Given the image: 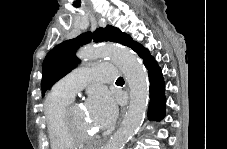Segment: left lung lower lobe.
<instances>
[{
	"mask_svg": "<svg viewBox=\"0 0 227 149\" xmlns=\"http://www.w3.org/2000/svg\"><path fill=\"white\" fill-rule=\"evenodd\" d=\"M128 47L132 48L143 59V63L148 69L150 80V103L148 108L149 120L159 121L165 116L166 98L164 94L165 84L162 77L161 69L157 62L150 55L148 49L144 48L140 43L129 39Z\"/></svg>",
	"mask_w": 227,
	"mask_h": 149,
	"instance_id": "1",
	"label": "left lung lower lobe"
}]
</instances>
